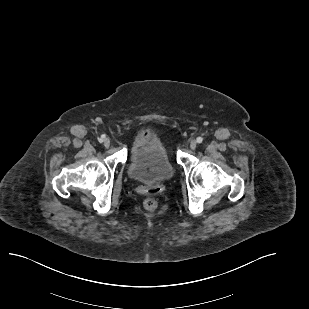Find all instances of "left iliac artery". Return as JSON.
Listing matches in <instances>:
<instances>
[{"instance_id":"1","label":"left iliac artery","mask_w":309,"mask_h":309,"mask_svg":"<svg viewBox=\"0 0 309 309\" xmlns=\"http://www.w3.org/2000/svg\"><path fill=\"white\" fill-rule=\"evenodd\" d=\"M196 141H197V143H202L203 138L202 137H197Z\"/></svg>"}]
</instances>
